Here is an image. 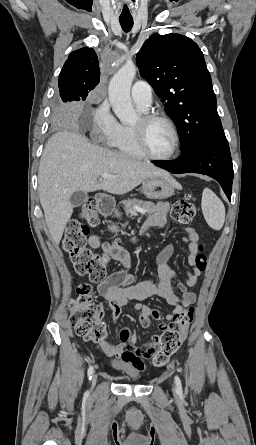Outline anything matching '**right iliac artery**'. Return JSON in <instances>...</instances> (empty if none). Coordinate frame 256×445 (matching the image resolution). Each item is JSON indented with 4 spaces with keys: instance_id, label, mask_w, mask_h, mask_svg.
<instances>
[{
    "instance_id": "82829eb1",
    "label": "right iliac artery",
    "mask_w": 256,
    "mask_h": 445,
    "mask_svg": "<svg viewBox=\"0 0 256 445\" xmlns=\"http://www.w3.org/2000/svg\"><path fill=\"white\" fill-rule=\"evenodd\" d=\"M93 373H94V368H93V366H90L88 369L89 380H91Z\"/></svg>"
}]
</instances>
